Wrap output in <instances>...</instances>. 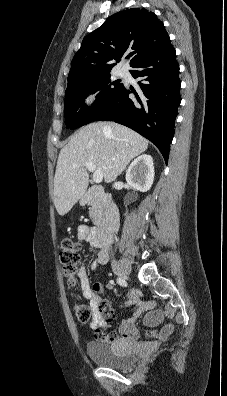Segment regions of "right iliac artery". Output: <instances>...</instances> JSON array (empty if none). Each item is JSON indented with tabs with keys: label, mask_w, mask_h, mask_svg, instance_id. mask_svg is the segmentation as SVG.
Listing matches in <instances>:
<instances>
[{
	"label": "right iliac artery",
	"mask_w": 227,
	"mask_h": 396,
	"mask_svg": "<svg viewBox=\"0 0 227 396\" xmlns=\"http://www.w3.org/2000/svg\"><path fill=\"white\" fill-rule=\"evenodd\" d=\"M117 283L120 285V286H123V287H125L126 285H127V283H126V281L124 280V279H122V278H117Z\"/></svg>",
	"instance_id": "right-iliac-artery-1"
}]
</instances>
